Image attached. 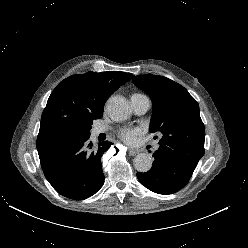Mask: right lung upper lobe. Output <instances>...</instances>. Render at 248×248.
<instances>
[{
	"instance_id": "right-lung-upper-lobe-1",
	"label": "right lung upper lobe",
	"mask_w": 248,
	"mask_h": 248,
	"mask_svg": "<svg viewBox=\"0 0 248 248\" xmlns=\"http://www.w3.org/2000/svg\"><path fill=\"white\" fill-rule=\"evenodd\" d=\"M131 78L132 74L121 71H89L60 82L42 113L37 150L64 134L91 126L94 119L102 117L108 97Z\"/></svg>"
}]
</instances>
